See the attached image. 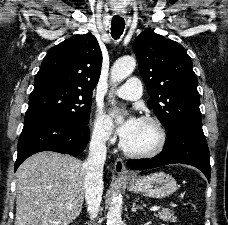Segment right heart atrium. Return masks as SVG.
<instances>
[{"label": "right heart atrium", "mask_w": 228, "mask_h": 225, "mask_svg": "<svg viewBox=\"0 0 228 225\" xmlns=\"http://www.w3.org/2000/svg\"><path fill=\"white\" fill-rule=\"evenodd\" d=\"M91 135L92 138L100 144H108L113 140L112 131L109 128L104 115L100 111L95 113Z\"/></svg>", "instance_id": "d8ad5b80"}]
</instances>
